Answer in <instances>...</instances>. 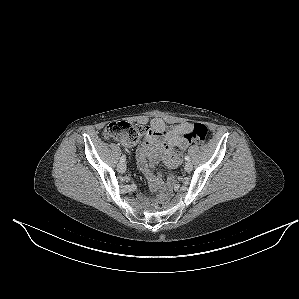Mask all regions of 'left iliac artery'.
<instances>
[{
    "label": "left iliac artery",
    "mask_w": 299,
    "mask_h": 299,
    "mask_svg": "<svg viewBox=\"0 0 299 299\" xmlns=\"http://www.w3.org/2000/svg\"><path fill=\"white\" fill-rule=\"evenodd\" d=\"M186 161H190V157L188 155L185 156Z\"/></svg>",
    "instance_id": "1"
}]
</instances>
